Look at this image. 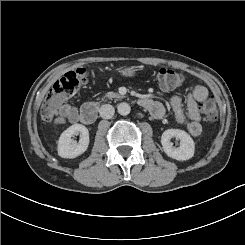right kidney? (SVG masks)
<instances>
[{
    "mask_svg": "<svg viewBox=\"0 0 245 245\" xmlns=\"http://www.w3.org/2000/svg\"><path fill=\"white\" fill-rule=\"evenodd\" d=\"M78 134H80V139L79 142H76L72 137ZM88 145V129L82 124H74L61 134L58 143V155L62 158H75L84 153Z\"/></svg>",
    "mask_w": 245,
    "mask_h": 245,
    "instance_id": "1",
    "label": "right kidney"
}]
</instances>
